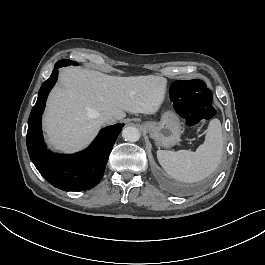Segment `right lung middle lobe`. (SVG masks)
<instances>
[{"label":"right lung middle lobe","mask_w":265,"mask_h":265,"mask_svg":"<svg viewBox=\"0 0 265 265\" xmlns=\"http://www.w3.org/2000/svg\"><path fill=\"white\" fill-rule=\"evenodd\" d=\"M61 61L66 62L67 65H70V64L77 65L76 62H74V61H70V60H68V59H67V60H66V59H65V60L63 59V60H61Z\"/></svg>","instance_id":"1"}]
</instances>
